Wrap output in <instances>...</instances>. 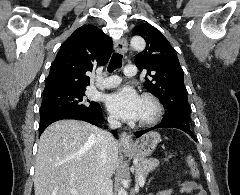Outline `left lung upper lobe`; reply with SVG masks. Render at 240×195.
Wrapping results in <instances>:
<instances>
[{"instance_id": "5c2ea615", "label": "left lung upper lobe", "mask_w": 240, "mask_h": 195, "mask_svg": "<svg viewBox=\"0 0 240 195\" xmlns=\"http://www.w3.org/2000/svg\"><path fill=\"white\" fill-rule=\"evenodd\" d=\"M133 35H140L146 41V48L136 55L135 64L140 70H147L144 87L167 109L162 121H177L189 125L190 111L184 73L177 53L164 35L150 24L137 26Z\"/></svg>"}]
</instances>
